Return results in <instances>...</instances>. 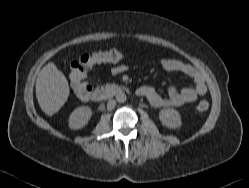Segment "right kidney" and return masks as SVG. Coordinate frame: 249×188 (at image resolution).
Wrapping results in <instances>:
<instances>
[{
    "label": "right kidney",
    "instance_id": "ca27d5eb",
    "mask_svg": "<svg viewBox=\"0 0 249 188\" xmlns=\"http://www.w3.org/2000/svg\"><path fill=\"white\" fill-rule=\"evenodd\" d=\"M92 116V110L88 106L78 107L69 116V127L71 129L83 128Z\"/></svg>",
    "mask_w": 249,
    "mask_h": 188
}]
</instances>
